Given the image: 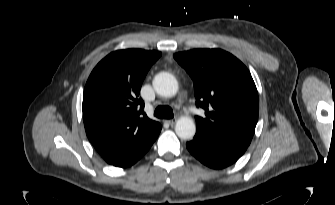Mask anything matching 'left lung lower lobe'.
Masks as SVG:
<instances>
[{
	"label": "left lung lower lobe",
	"mask_w": 335,
	"mask_h": 205,
	"mask_svg": "<svg viewBox=\"0 0 335 205\" xmlns=\"http://www.w3.org/2000/svg\"><path fill=\"white\" fill-rule=\"evenodd\" d=\"M186 147L200 162L213 169L233 164L247 149V146L224 142L199 132L186 143Z\"/></svg>",
	"instance_id": "left-lung-lower-lobe-1"
}]
</instances>
